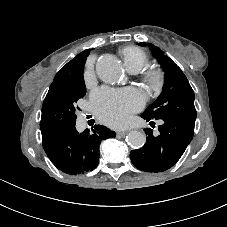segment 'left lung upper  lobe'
Returning a JSON list of instances; mask_svg holds the SVG:
<instances>
[{"label":"left lung upper lobe","instance_id":"5c2ea615","mask_svg":"<svg viewBox=\"0 0 227 227\" xmlns=\"http://www.w3.org/2000/svg\"><path fill=\"white\" fill-rule=\"evenodd\" d=\"M149 47L160 63L165 73L163 91L143 113L150 118L179 116L187 119H196L194 106V92L181 69L168 56L151 43H138Z\"/></svg>","mask_w":227,"mask_h":227}]
</instances>
